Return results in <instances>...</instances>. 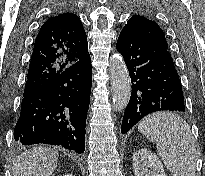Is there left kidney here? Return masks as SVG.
Masks as SVG:
<instances>
[{"instance_id":"5707ae66","label":"left kidney","mask_w":205,"mask_h":176,"mask_svg":"<svg viewBox=\"0 0 205 176\" xmlns=\"http://www.w3.org/2000/svg\"><path fill=\"white\" fill-rule=\"evenodd\" d=\"M132 159L135 176H167L157 155L146 148L137 150Z\"/></svg>"}]
</instances>
